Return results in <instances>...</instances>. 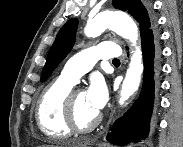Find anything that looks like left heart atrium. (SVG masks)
I'll list each match as a JSON object with an SVG mask.
<instances>
[{
    "instance_id": "obj_1",
    "label": "left heart atrium",
    "mask_w": 183,
    "mask_h": 147,
    "mask_svg": "<svg viewBox=\"0 0 183 147\" xmlns=\"http://www.w3.org/2000/svg\"><path fill=\"white\" fill-rule=\"evenodd\" d=\"M86 97L91 107L99 112L106 104L108 99V89L104 80L100 77L92 78Z\"/></svg>"
}]
</instances>
